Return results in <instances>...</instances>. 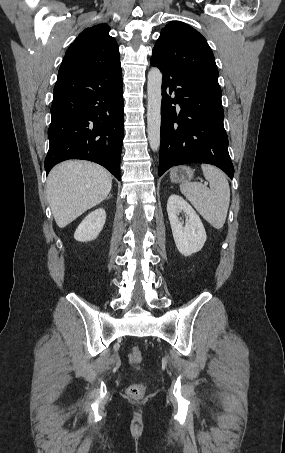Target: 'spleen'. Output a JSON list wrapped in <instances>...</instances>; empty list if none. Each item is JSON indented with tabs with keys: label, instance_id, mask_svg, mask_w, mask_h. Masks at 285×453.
Listing matches in <instances>:
<instances>
[{
	"label": "spleen",
	"instance_id": "obj_1",
	"mask_svg": "<svg viewBox=\"0 0 285 453\" xmlns=\"http://www.w3.org/2000/svg\"><path fill=\"white\" fill-rule=\"evenodd\" d=\"M204 177L210 188L199 182L182 183L180 190L199 214L215 229H221L230 203V187L226 175L218 168L202 164Z\"/></svg>",
	"mask_w": 285,
	"mask_h": 453
}]
</instances>
